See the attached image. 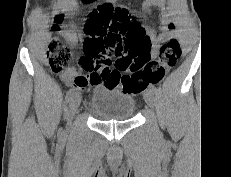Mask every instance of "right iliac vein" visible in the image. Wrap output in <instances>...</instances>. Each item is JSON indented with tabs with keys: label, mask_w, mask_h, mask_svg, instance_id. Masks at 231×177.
I'll use <instances>...</instances> for the list:
<instances>
[{
	"label": "right iliac vein",
	"mask_w": 231,
	"mask_h": 177,
	"mask_svg": "<svg viewBox=\"0 0 231 177\" xmlns=\"http://www.w3.org/2000/svg\"><path fill=\"white\" fill-rule=\"evenodd\" d=\"M81 102V94L79 92H75L70 99L69 108H68V125L71 124L73 116L75 115L79 105Z\"/></svg>",
	"instance_id": "obj_1"
}]
</instances>
